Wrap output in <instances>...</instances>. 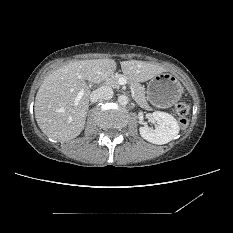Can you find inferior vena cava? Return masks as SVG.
Masks as SVG:
<instances>
[{"label":"inferior vena cava","instance_id":"1","mask_svg":"<svg viewBox=\"0 0 233 233\" xmlns=\"http://www.w3.org/2000/svg\"><path fill=\"white\" fill-rule=\"evenodd\" d=\"M112 97H113L112 88H110L109 86H102L91 93L90 100L91 102H96L97 100H109Z\"/></svg>","mask_w":233,"mask_h":233}]
</instances>
